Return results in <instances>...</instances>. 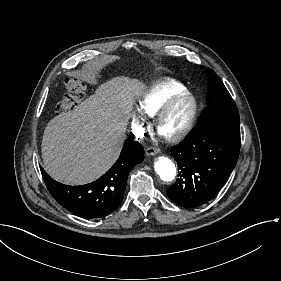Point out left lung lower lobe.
Here are the masks:
<instances>
[{
	"label": "left lung lower lobe",
	"mask_w": 281,
	"mask_h": 281,
	"mask_svg": "<svg viewBox=\"0 0 281 281\" xmlns=\"http://www.w3.org/2000/svg\"><path fill=\"white\" fill-rule=\"evenodd\" d=\"M239 151V122H198L192 133L172 148L179 178L167 189L170 200L186 208L208 202L232 172Z\"/></svg>",
	"instance_id": "obj_1"
}]
</instances>
